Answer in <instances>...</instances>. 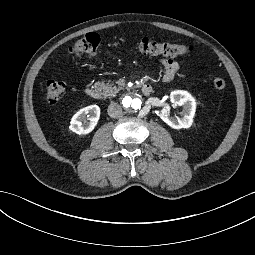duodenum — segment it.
Returning <instances> with one entry per match:
<instances>
[{"label": "duodenum", "mask_w": 255, "mask_h": 255, "mask_svg": "<svg viewBox=\"0 0 255 255\" xmlns=\"http://www.w3.org/2000/svg\"><path fill=\"white\" fill-rule=\"evenodd\" d=\"M141 90L144 95H150L152 92V87L149 84H143ZM85 93L91 99L97 100L100 98L99 90L94 87H87Z\"/></svg>", "instance_id": "obj_1"}]
</instances>
